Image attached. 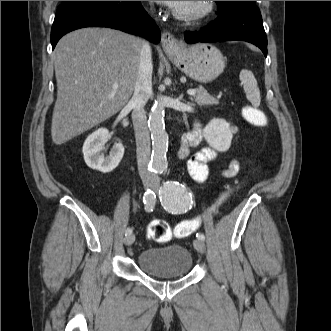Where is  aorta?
Returning <instances> with one entry per match:
<instances>
[{
    "instance_id": "1",
    "label": "aorta",
    "mask_w": 331,
    "mask_h": 331,
    "mask_svg": "<svg viewBox=\"0 0 331 331\" xmlns=\"http://www.w3.org/2000/svg\"><path fill=\"white\" fill-rule=\"evenodd\" d=\"M164 116V103L158 98L151 108L148 119L152 139L151 167L157 172L164 171L167 167L169 138L165 130Z\"/></svg>"
}]
</instances>
